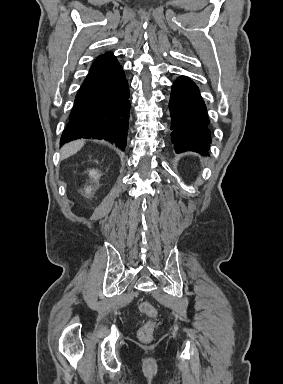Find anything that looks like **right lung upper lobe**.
<instances>
[{"instance_id":"right-lung-upper-lobe-1","label":"right lung upper lobe","mask_w":283,"mask_h":384,"mask_svg":"<svg viewBox=\"0 0 283 384\" xmlns=\"http://www.w3.org/2000/svg\"><path fill=\"white\" fill-rule=\"evenodd\" d=\"M117 63L118 61L116 57L111 52H107L104 55L97 57V59L93 62L90 71L106 68Z\"/></svg>"}]
</instances>
